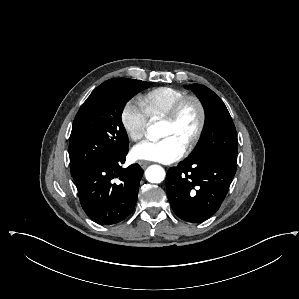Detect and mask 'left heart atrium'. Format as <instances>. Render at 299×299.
I'll return each mask as SVG.
<instances>
[{
  "label": "left heart atrium",
  "mask_w": 299,
  "mask_h": 299,
  "mask_svg": "<svg viewBox=\"0 0 299 299\" xmlns=\"http://www.w3.org/2000/svg\"><path fill=\"white\" fill-rule=\"evenodd\" d=\"M185 152V148L171 137L158 141L144 140L136 144L131 150L134 160H151L163 163H172L179 160Z\"/></svg>",
  "instance_id": "obj_1"
}]
</instances>
